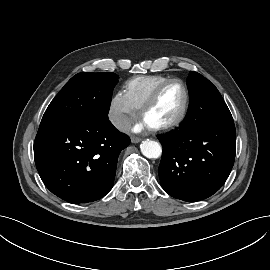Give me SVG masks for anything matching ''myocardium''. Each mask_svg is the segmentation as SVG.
I'll return each mask as SVG.
<instances>
[{"instance_id":"myocardium-1","label":"myocardium","mask_w":270,"mask_h":270,"mask_svg":"<svg viewBox=\"0 0 270 270\" xmlns=\"http://www.w3.org/2000/svg\"><path fill=\"white\" fill-rule=\"evenodd\" d=\"M173 83H178L180 85H182L183 89H184V101L183 104L180 108V110L178 111V113L173 116L170 120L159 124V125H155V126H151V129L154 131H166V130H170L172 128L177 127L178 125H180L184 119L187 116L188 110H189V106H190V91L189 88L187 86V84L179 78H171L168 79L162 83H160L154 90L153 92L149 95V97L146 99V101L142 104V106L139 109V115L141 118H143V116L147 113V111L153 106V104L157 101V99L159 98L161 92L170 84Z\"/></svg>"}]
</instances>
